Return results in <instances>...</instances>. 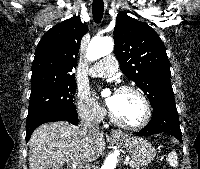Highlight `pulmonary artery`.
Segmentation results:
<instances>
[{"mask_svg": "<svg viewBox=\"0 0 200 169\" xmlns=\"http://www.w3.org/2000/svg\"><path fill=\"white\" fill-rule=\"evenodd\" d=\"M118 70V62L113 55H108L98 61L90 70V75L94 77H111Z\"/></svg>", "mask_w": 200, "mask_h": 169, "instance_id": "e3ab8cb5", "label": "pulmonary artery"}]
</instances>
